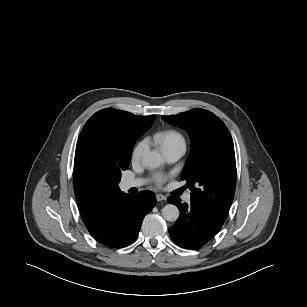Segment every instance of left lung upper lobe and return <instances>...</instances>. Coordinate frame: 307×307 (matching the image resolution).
<instances>
[{
	"label": "left lung upper lobe",
	"mask_w": 307,
	"mask_h": 307,
	"mask_svg": "<svg viewBox=\"0 0 307 307\" xmlns=\"http://www.w3.org/2000/svg\"><path fill=\"white\" fill-rule=\"evenodd\" d=\"M162 118L190 135L191 151L181 179L190 187L191 201L225 221L236 187L234 145L228 128L215 114L200 108Z\"/></svg>",
	"instance_id": "5c2ea615"
}]
</instances>
